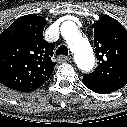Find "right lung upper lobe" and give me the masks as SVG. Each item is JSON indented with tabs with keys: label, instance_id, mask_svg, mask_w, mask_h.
<instances>
[{
	"label": "right lung upper lobe",
	"instance_id": "right-lung-upper-lobe-1",
	"mask_svg": "<svg viewBox=\"0 0 127 127\" xmlns=\"http://www.w3.org/2000/svg\"><path fill=\"white\" fill-rule=\"evenodd\" d=\"M46 20L35 14L22 16L0 35V83L17 91H33L54 70L55 48L43 38Z\"/></svg>",
	"mask_w": 127,
	"mask_h": 127
}]
</instances>
